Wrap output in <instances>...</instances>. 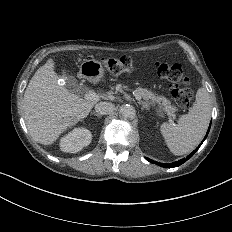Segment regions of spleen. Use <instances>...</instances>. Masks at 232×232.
I'll return each mask as SVG.
<instances>
[{
	"mask_svg": "<svg viewBox=\"0 0 232 232\" xmlns=\"http://www.w3.org/2000/svg\"><path fill=\"white\" fill-rule=\"evenodd\" d=\"M211 118V101L205 88H199L196 102L188 114L182 115L176 126L170 123L161 125L170 151L177 156L191 152L203 139Z\"/></svg>",
	"mask_w": 232,
	"mask_h": 232,
	"instance_id": "obj_1",
	"label": "spleen"
}]
</instances>
